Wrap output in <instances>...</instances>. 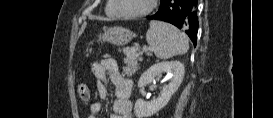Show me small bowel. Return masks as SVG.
<instances>
[{"label":"small bowel","instance_id":"small-bowel-1","mask_svg":"<svg viewBox=\"0 0 273 118\" xmlns=\"http://www.w3.org/2000/svg\"><path fill=\"white\" fill-rule=\"evenodd\" d=\"M92 71L96 77V87L101 99H105L108 95L107 84L110 83L114 87L115 101L111 118H133L131 99L133 82L121 73L117 62L113 59L96 61ZM81 99L84 101L90 99L89 90ZM101 109L100 102L91 103L89 118H97Z\"/></svg>","mask_w":273,"mask_h":118}]
</instances>
